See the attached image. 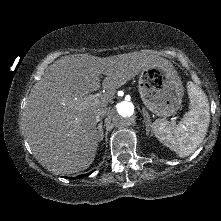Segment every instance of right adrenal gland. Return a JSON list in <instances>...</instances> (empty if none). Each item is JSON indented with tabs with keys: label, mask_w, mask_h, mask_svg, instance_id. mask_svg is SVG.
Returning a JSON list of instances; mask_svg holds the SVG:
<instances>
[{
	"label": "right adrenal gland",
	"mask_w": 221,
	"mask_h": 221,
	"mask_svg": "<svg viewBox=\"0 0 221 221\" xmlns=\"http://www.w3.org/2000/svg\"><path fill=\"white\" fill-rule=\"evenodd\" d=\"M97 129H98V142H101L103 141V137H104L102 121L98 124Z\"/></svg>",
	"instance_id": "obj_1"
}]
</instances>
